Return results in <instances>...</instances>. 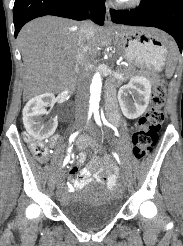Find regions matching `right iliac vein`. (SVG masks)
<instances>
[{
    "label": "right iliac vein",
    "instance_id": "63e3f726",
    "mask_svg": "<svg viewBox=\"0 0 183 246\" xmlns=\"http://www.w3.org/2000/svg\"><path fill=\"white\" fill-rule=\"evenodd\" d=\"M81 127V123L80 122H78L77 124H76V128H80ZM63 174V173H62Z\"/></svg>",
    "mask_w": 183,
    "mask_h": 246
}]
</instances>
